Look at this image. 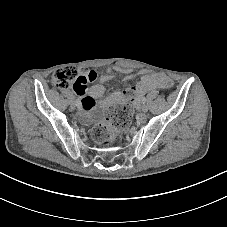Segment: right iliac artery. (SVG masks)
<instances>
[{
    "instance_id": "obj_1",
    "label": "right iliac artery",
    "mask_w": 227,
    "mask_h": 227,
    "mask_svg": "<svg viewBox=\"0 0 227 227\" xmlns=\"http://www.w3.org/2000/svg\"><path fill=\"white\" fill-rule=\"evenodd\" d=\"M76 106L79 108V109H81V102H80V100L79 99H77L76 100Z\"/></svg>"
}]
</instances>
